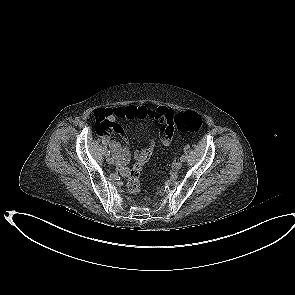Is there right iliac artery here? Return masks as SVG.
Here are the masks:
<instances>
[{"label":"right iliac artery","mask_w":295,"mask_h":295,"mask_svg":"<svg viewBox=\"0 0 295 295\" xmlns=\"http://www.w3.org/2000/svg\"><path fill=\"white\" fill-rule=\"evenodd\" d=\"M106 156H110V150L106 152Z\"/></svg>","instance_id":"82829eb1"}]
</instances>
